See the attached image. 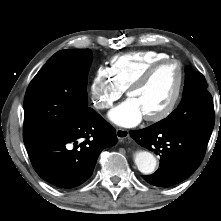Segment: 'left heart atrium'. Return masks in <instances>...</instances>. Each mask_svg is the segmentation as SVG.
<instances>
[{"instance_id": "left-heart-atrium-1", "label": "left heart atrium", "mask_w": 221, "mask_h": 221, "mask_svg": "<svg viewBox=\"0 0 221 221\" xmlns=\"http://www.w3.org/2000/svg\"><path fill=\"white\" fill-rule=\"evenodd\" d=\"M143 117L144 114L139 104L135 99L130 97L109 113L110 120L123 127L135 126Z\"/></svg>"}]
</instances>
